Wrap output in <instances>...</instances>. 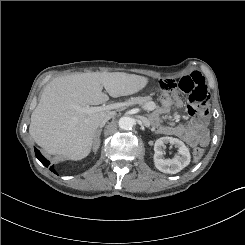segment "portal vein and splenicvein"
I'll return each instance as SVG.
<instances>
[{"instance_id":"1","label":"portal vein and splenic vein","mask_w":245,"mask_h":245,"mask_svg":"<svg viewBox=\"0 0 245 245\" xmlns=\"http://www.w3.org/2000/svg\"><path fill=\"white\" fill-rule=\"evenodd\" d=\"M125 105L127 104L126 103H113V104H109L106 106L104 105V106H98V107H90V106L81 107V106L76 105L75 108L76 110L82 111L84 113H94V112L105 110V109H109V110L118 109Z\"/></svg>"}]
</instances>
